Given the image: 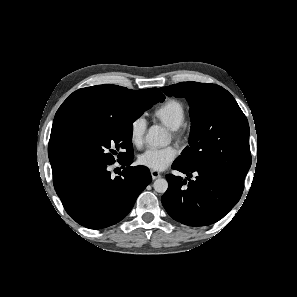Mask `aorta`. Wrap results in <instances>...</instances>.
<instances>
[{
	"label": "aorta",
	"instance_id": "762f6f07",
	"mask_svg": "<svg viewBox=\"0 0 297 297\" xmlns=\"http://www.w3.org/2000/svg\"><path fill=\"white\" fill-rule=\"evenodd\" d=\"M145 139L150 147H160L166 143L167 135L160 126L154 125L148 130ZM153 187L156 192L165 193L168 189V182L166 179L158 178L154 181Z\"/></svg>",
	"mask_w": 297,
	"mask_h": 297
}]
</instances>
